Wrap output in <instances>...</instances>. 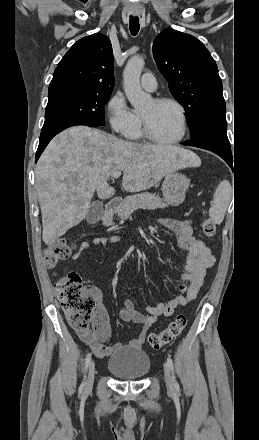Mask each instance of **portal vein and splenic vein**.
I'll return each mask as SVG.
<instances>
[{
  "label": "portal vein and splenic vein",
  "instance_id": "portal-vein-and-splenic-vein-1",
  "mask_svg": "<svg viewBox=\"0 0 259 440\" xmlns=\"http://www.w3.org/2000/svg\"><path fill=\"white\" fill-rule=\"evenodd\" d=\"M120 176H121V171H115V172L111 175V177H112V178H115V179L119 178Z\"/></svg>",
  "mask_w": 259,
  "mask_h": 440
}]
</instances>
